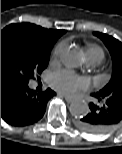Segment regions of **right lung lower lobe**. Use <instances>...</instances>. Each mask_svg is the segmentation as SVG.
I'll return each mask as SVG.
<instances>
[{
    "mask_svg": "<svg viewBox=\"0 0 122 154\" xmlns=\"http://www.w3.org/2000/svg\"><path fill=\"white\" fill-rule=\"evenodd\" d=\"M55 95L51 89L37 93L27 85L1 84V118L13 126L31 125L40 120L48 101Z\"/></svg>",
    "mask_w": 122,
    "mask_h": 154,
    "instance_id": "1",
    "label": "right lung lower lobe"
}]
</instances>
